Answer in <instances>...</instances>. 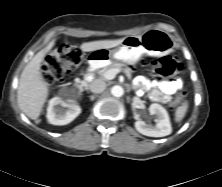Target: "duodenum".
<instances>
[{
	"label": "duodenum",
	"instance_id": "duodenum-1",
	"mask_svg": "<svg viewBox=\"0 0 222 187\" xmlns=\"http://www.w3.org/2000/svg\"><path fill=\"white\" fill-rule=\"evenodd\" d=\"M94 75V63H91L84 75V80L81 83V86L84 87L86 85L87 82L91 81Z\"/></svg>",
	"mask_w": 222,
	"mask_h": 187
}]
</instances>
